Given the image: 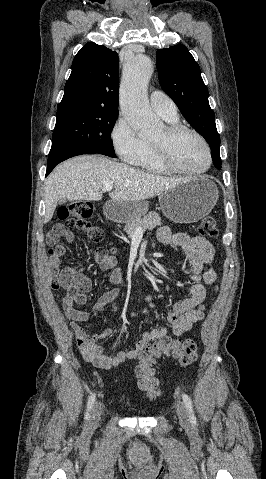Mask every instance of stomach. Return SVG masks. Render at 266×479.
I'll return each instance as SVG.
<instances>
[{"instance_id": "stomach-1", "label": "stomach", "mask_w": 266, "mask_h": 479, "mask_svg": "<svg viewBox=\"0 0 266 479\" xmlns=\"http://www.w3.org/2000/svg\"><path fill=\"white\" fill-rule=\"evenodd\" d=\"M219 197L216 185L207 177H194L164 191L159 196L163 214L176 223H193L208 215ZM145 201L108 202L105 215L116 222H129L148 211Z\"/></svg>"}]
</instances>
